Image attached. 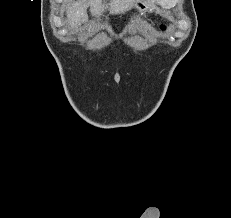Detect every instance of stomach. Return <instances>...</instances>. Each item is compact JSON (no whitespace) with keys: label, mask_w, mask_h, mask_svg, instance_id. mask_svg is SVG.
Instances as JSON below:
<instances>
[{"label":"stomach","mask_w":231,"mask_h":218,"mask_svg":"<svg viewBox=\"0 0 231 218\" xmlns=\"http://www.w3.org/2000/svg\"><path fill=\"white\" fill-rule=\"evenodd\" d=\"M134 7L140 12H145L150 9L149 4L146 3L144 0H135Z\"/></svg>","instance_id":"obj_1"}]
</instances>
